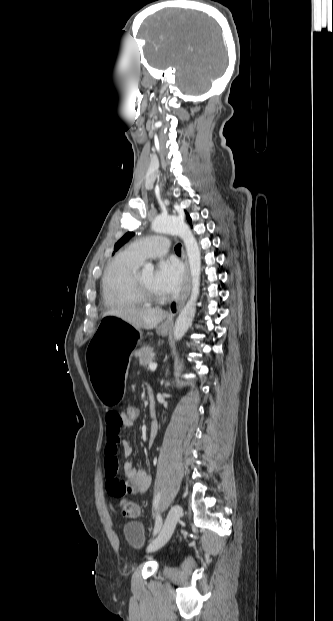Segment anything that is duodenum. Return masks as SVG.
I'll return each instance as SVG.
<instances>
[{
    "mask_svg": "<svg viewBox=\"0 0 333 621\" xmlns=\"http://www.w3.org/2000/svg\"><path fill=\"white\" fill-rule=\"evenodd\" d=\"M149 402H150V415L152 418L155 416V408H154V397L152 391L149 392ZM155 425V422H153Z\"/></svg>",
    "mask_w": 333,
    "mask_h": 621,
    "instance_id": "1",
    "label": "duodenum"
}]
</instances>
